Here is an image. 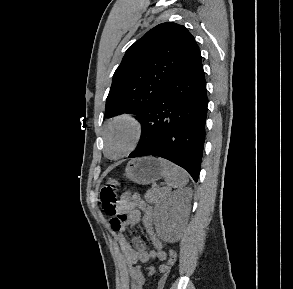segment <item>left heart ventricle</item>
<instances>
[{
    "mask_svg": "<svg viewBox=\"0 0 293 289\" xmlns=\"http://www.w3.org/2000/svg\"><path fill=\"white\" fill-rule=\"evenodd\" d=\"M132 129L125 123L115 125L109 132L107 149L111 156L123 153L132 141Z\"/></svg>",
    "mask_w": 293,
    "mask_h": 289,
    "instance_id": "b2bd125f",
    "label": "left heart ventricle"
}]
</instances>
